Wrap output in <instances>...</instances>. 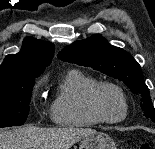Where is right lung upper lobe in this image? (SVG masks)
Returning a JSON list of instances; mask_svg holds the SVG:
<instances>
[{
    "label": "right lung upper lobe",
    "instance_id": "1",
    "mask_svg": "<svg viewBox=\"0 0 155 149\" xmlns=\"http://www.w3.org/2000/svg\"><path fill=\"white\" fill-rule=\"evenodd\" d=\"M54 45L27 37L18 54L6 56L0 66V79L38 77L50 65Z\"/></svg>",
    "mask_w": 155,
    "mask_h": 149
}]
</instances>
